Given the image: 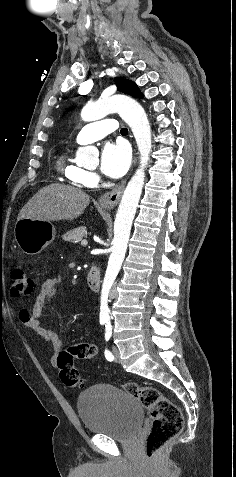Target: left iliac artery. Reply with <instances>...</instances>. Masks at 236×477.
Masks as SVG:
<instances>
[{
  "mask_svg": "<svg viewBox=\"0 0 236 477\" xmlns=\"http://www.w3.org/2000/svg\"><path fill=\"white\" fill-rule=\"evenodd\" d=\"M106 329H105V340L108 341L112 335V327L110 325V323H107L105 325ZM105 357L108 361H113L114 360V356L112 355V353L105 349Z\"/></svg>",
  "mask_w": 236,
  "mask_h": 477,
  "instance_id": "left-iliac-artery-1",
  "label": "left iliac artery"
}]
</instances>
